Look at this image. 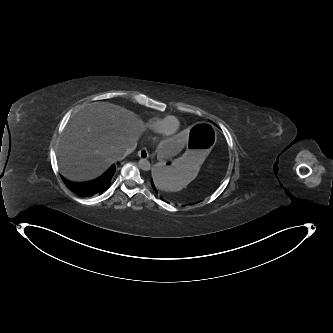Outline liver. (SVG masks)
Returning a JSON list of instances; mask_svg holds the SVG:
<instances>
[{
	"instance_id": "obj_1",
	"label": "liver",
	"mask_w": 333,
	"mask_h": 333,
	"mask_svg": "<svg viewBox=\"0 0 333 333\" xmlns=\"http://www.w3.org/2000/svg\"><path fill=\"white\" fill-rule=\"evenodd\" d=\"M145 130L132 111L108 102H94L74 115L65 127L58 146L60 171L69 180H92L105 172L129 148H136ZM187 146L177 136L165 146L159 157L169 160Z\"/></svg>"
}]
</instances>
